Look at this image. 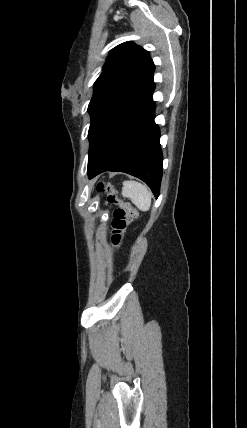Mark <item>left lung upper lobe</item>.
I'll use <instances>...</instances> for the list:
<instances>
[{"label":"left lung upper lobe","instance_id":"obj_1","mask_svg":"<svg viewBox=\"0 0 247 428\" xmlns=\"http://www.w3.org/2000/svg\"><path fill=\"white\" fill-rule=\"evenodd\" d=\"M155 66L149 52L132 42L116 46L94 83L88 106L91 116L89 151L104 124L126 102L150 87Z\"/></svg>","mask_w":247,"mask_h":428}]
</instances>
